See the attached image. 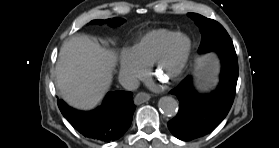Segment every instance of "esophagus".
I'll return each mask as SVG.
<instances>
[{
  "label": "esophagus",
  "mask_w": 279,
  "mask_h": 148,
  "mask_svg": "<svg viewBox=\"0 0 279 148\" xmlns=\"http://www.w3.org/2000/svg\"><path fill=\"white\" fill-rule=\"evenodd\" d=\"M150 95L148 93L145 92H140L138 93L135 98H134V103L137 105H140L144 102H147L148 100H150Z\"/></svg>",
  "instance_id": "1"
}]
</instances>
